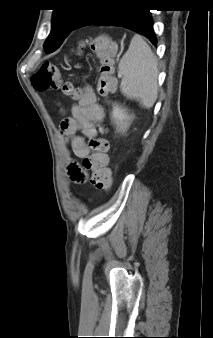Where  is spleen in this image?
<instances>
[{
	"instance_id": "obj_1",
	"label": "spleen",
	"mask_w": 213,
	"mask_h": 338,
	"mask_svg": "<svg viewBox=\"0 0 213 338\" xmlns=\"http://www.w3.org/2000/svg\"><path fill=\"white\" fill-rule=\"evenodd\" d=\"M119 71L123 75L122 94L138 100L145 108L152 107L158 97L157 59L140 35L136 34L131 39L127 52L120 60Z\"/></svg>"
}]
</instances>
